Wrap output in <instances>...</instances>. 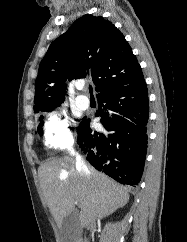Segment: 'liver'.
<instances>
[{"label": "liver", "mask_w": 187, "mask_h": 242, "mask_svg": "<svg viewBox=\"0 0 187 242\" xmlns=\"http://www.w3.org/2000/svg\"><path fill=\"white\" fill-rule=\"evenodd\" d=\"M89 178L81 175L70 157L49 159L40 165L38 175L47 205L57 225L62 223L78 202L79 222L90 227L129 201L127 189L88 165Z\"/></svg>", "instance_id": "obj_1"}]
</instances>
